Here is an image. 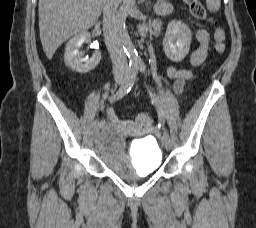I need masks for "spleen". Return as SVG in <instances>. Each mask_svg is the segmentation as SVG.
Here are the masks:
<instances>
[{"mask_svg": "<svg viewBox=\"0 0 256 228\" xmlns=\"http://www.w3.org/2000/svg\"><path fill=\"white\" fill-rule=\"evenodd\" d=\"M207 9L211 12H216L220 9V0H206Z\"/></svg>", "mask_w": 256, "mask_h": 228, "instance_id": "1", "label": "spleen"}]
</instances>
